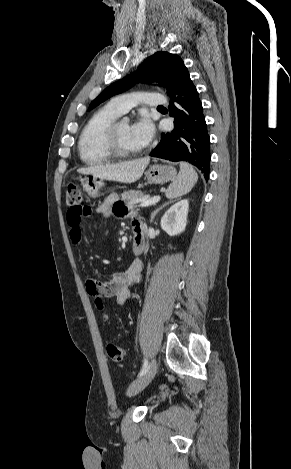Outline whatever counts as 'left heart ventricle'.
<instances>
[{"mask_svg":"<svg viewBox=\"0 0 291 469\" xmlns=\"http://www.w3.org/2000/svg\"><path fill=\"white\" fill-rule=\"evenodd\" d=\"M118 139L122 148L126 150H138L141 147L135 142L131 135V126L127 122H121L118 127Z\"/></svg>","mask_w":291,"mask_h":469,"instance_id":"left-heart-ventricle-1","label":"left heart ventricle"}]
</instances>
